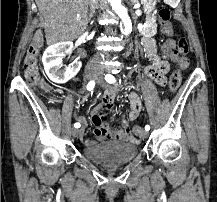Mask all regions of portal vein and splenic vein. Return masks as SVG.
Here are the masks:
<instances>
[{"instance_id": "1", "label": "portal vein and splenic vein", "mask_w": 217, "mask_h": 202, "mask_svg": "<svg viewBox=\"0 0 217 202\" xmlns=\"http://www.w3.org/2000/svg\"><path fill=\"white\" fill-rule=\"evenodd\" d=\"M76 20H81V18H79V14H78V16H77Z\"/></svg>"}]
</instances>
